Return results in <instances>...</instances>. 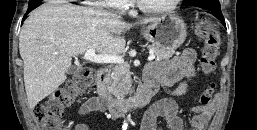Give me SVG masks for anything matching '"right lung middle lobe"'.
I'll return each instance as SVG.
<instances>
[{
  "label": "right lung middle lobe",
  "mask_w": 257,
  "mask_h": 130,
  "mask_svg": "<svg viewBox=\"0 0 257 130\" xmlns=\"http://www.w3.org/2000/svg\"><path fill=\"white\" fill-rule=\"evenodd\" d=\"M36 2H37V0H30L28 6H37L38 3H36Z\"/></svg>",
  "instance_id": "dd1d6c3e"
}]
</instances>
